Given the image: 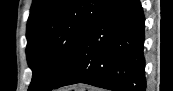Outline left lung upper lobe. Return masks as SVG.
Instances as JSON below:
<instances>
[{"mask_svg":"<svg viewBox=\"0 0 173 91\" xmlns=\"http://www.w3.org/2000/svg\"><path fill=\"white\" fill-rule=\"evenodd\" d=\"M112 0H33L26 55L33 77L28 91L59 84L87 33Z\"/></svg>","mask_w":173,"mask_h":91,"instance_id":"left-lung-upper-lobe-1","label":"left lung upper lobe"}]
</instances>
